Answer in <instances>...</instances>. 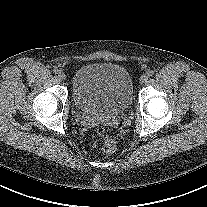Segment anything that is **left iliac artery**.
<instances>
[{
	"instance_id": "left-iliac-artery-1",
	"label": "left iliac artery",
	"mask_w": 207,
	"mask_h": 207,
	"mask_svg": "<svg viewBox=\"0 0 207 207\" xmlns=\"http://www.w3.org/2000/svg\"><path fill=\"white\" fill-rule=\"evenodd\" d=\"M147 75H148L149 77H151V76L154 75V72H153V71H148V72H147Z\"/></svg>"
}]
</instances>
